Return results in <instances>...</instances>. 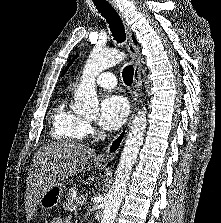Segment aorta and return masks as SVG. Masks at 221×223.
I'll list each match as a JSON object with an SVG mask.
<instances>
[{"instance_id":"1","label":"aorta","mask_w":221,"mask_h":223,"mask_svg":"<svg viewBox=\"0 0 221 223\" xmlns=\"http://www.w3.org/2000/svg\"><path fill=\"white\" fill-rule=\"evenodd\" d=\"M125 54L118 50L94 49L87 59L79 87L75 91L74 111L80 115L96 116L99 111L95 78L103 70L122 62ZM147 123L145 107L133 119L124 149L115 173L113 185L108 193L101 223H114L127 188L129 176L143 143Z\"/></svg>"}]
</instances>
